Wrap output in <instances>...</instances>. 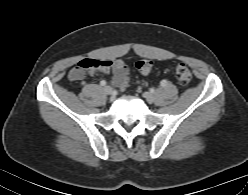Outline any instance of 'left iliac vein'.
<instances>
[{
    "mask_svg": "<svg viewBox=\"0 0 248 195\" xmlns=\"http://www.w3.org/2000/svg\"><path fill=\"white\" fill-rule=\"evenodd\" d=\"M143 96H144V98L147 100V102H149V103H153L154 100H155L154 95H153L152 93H150V92H145V93L143 94Z\"/></svg>",
    "mask_w": 248,
    "mask_h": 195,
    "instance_id": "1",
    "label": "left iliac vein"
}]
</instances>
